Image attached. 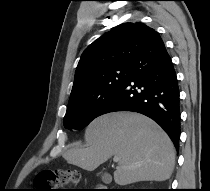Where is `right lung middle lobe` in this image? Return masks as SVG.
Instances as JSON below:
<instances>
[{
    "label": "right lung middle lobe",
    "instance_id": "dd1d6c3e",
    "mask_svg": "<svg viewBox=\"0 0 210 191\" xmlns=\"http://www.w3.org/2000/svg\"><path fill=\"white\" fill-rule=\"evenodd\" d=\"M129 65L114 66L100 72L91 83L69 99L64 127L80 130L86 127L105 103L127 79Z\"/></svg>",
    "mask_w": 210,
    "mask_h": 191
}]
</instances>
